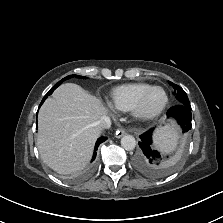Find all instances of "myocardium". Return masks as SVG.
<instances>
[{
    "label": "myocardium",
    "instance_id": "f54148a6",
    "mask_svg": "<svg viewBox=\"0 0 223 223\" xmlns=\"http://www.w3.org/2000/svg\"><path fill=\"white\" fill-rule=\"evenodd\" d=\"M154 90L163 91L165 95L164 103L157 111L153 113H146L144 111L145 101L147 97L149 96V94L153 92ZM168 103H169V95L166 89L162 86H151L145 92H143L142 95L138 98L137 102L135 103L134 107L131 110V113H132V116L138 121H142V122L151 121L159 117L164 112Z\"/></svg>",
    "mask_w": 223,
    "mask_h": 223
}]
</instances>
